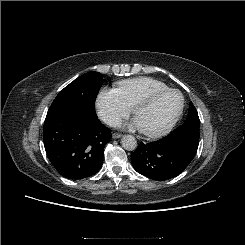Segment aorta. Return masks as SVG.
Instances as JSON below:
<instances>
[{
	"instance_id": "obj_1",
	"label": "aorta",
	"mask_w": 245,
	"mask_h": 245,
	"mask_svg": "<svg viewBox=\"0 0 245 245\" xmlns=\"http://www.w3.org/2000/svg\"><path fill=\"white\" fill-rule=\"evenodd\" d=\"M121 145L125 150L133 151L137 148V140L133 135H124L121 139Z\"/></svg>"
}]
</instances>
